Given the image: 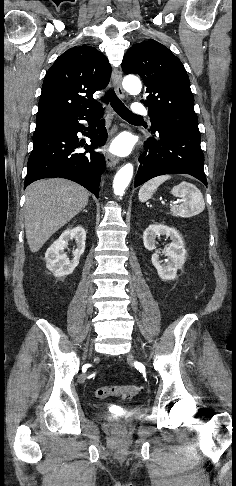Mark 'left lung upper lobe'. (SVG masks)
I'll return each instance as SVG.
<instances>
[{"mask_svg": "<svg viewBox=\"0 0 236 486\" xmlns=\"http://www.w3.org/2000/svg\"><path fill=\"white\" fill-rule=\"evenodd\" d=\"M122 69L125 74H139L144 81L152 133L161 127L199 133L188 75L167 47L153 39L136 43L124 56Z\"/></svg>", "mask_w": 236, "mask_h": 486, "instance_id": "obj_1", "label": "left lung upper lobe"}]
</instances>
